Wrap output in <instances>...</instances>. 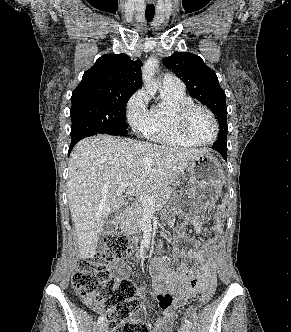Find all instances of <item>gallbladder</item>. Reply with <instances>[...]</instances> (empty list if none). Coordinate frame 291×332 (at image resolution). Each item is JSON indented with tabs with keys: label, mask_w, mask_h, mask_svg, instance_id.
<instances>
[{
	"label": "gallbladder",
	"mask_w": 291,
	"mask_h": 332,
	"mask_svg": "<svg viewBox=\"0 0 291 332\" xmlns=\"http://www.w3.org/2000/svg\"><path fill=\"white\" fill-rule=\"evenodd\" d=\"M118 222L116 213H111L104 222L103 234H114L117 231Z\"/></svg>",
	"instance_id": "obj_1"
}]
</instances>
